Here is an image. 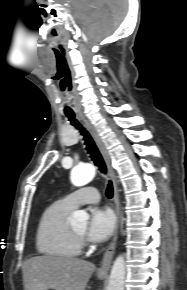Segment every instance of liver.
Masks as SVG:
<instances>
[{"label":"liver","instance_id":"6515ba94","mask_svg":"<svg viewBox=\"0 0 187 290\" xmlns=\"http://www.w3.org/2000/svg\"><path fill=\"white\" fill-rule=\"evenodd\" d=\"M95 270L74 257L35 256L22 265L24 290H85Z\"/></svg>","mask_w":187,"mask_h":290}]
</instances>
